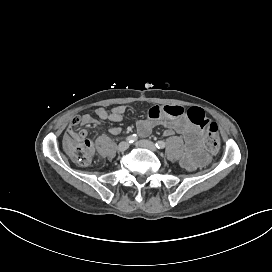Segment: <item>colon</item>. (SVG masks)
I'll list each match as a JSON object with an SVG mask.
<instances>
[{"label":"colon","mask_w":272,"mask_h":272,"mask_svg":"<svg viewBox=\"0 0 272 272\" xmlns=\"http://www.w3.org/2000/svg\"><path fill=\"white\" fill-rule=\"evenodd\" d=\"M189 120L202 132L207 149L215 152L220 147L219 126L209 118L207 111L195 105L187 108ZM67 154L73 158L74 165L79 170H86L91 165V144L87 139L77 135H70L65 140Z\"/></svg>","instance_id":"5ec220e1"}]
</instances>
